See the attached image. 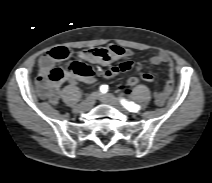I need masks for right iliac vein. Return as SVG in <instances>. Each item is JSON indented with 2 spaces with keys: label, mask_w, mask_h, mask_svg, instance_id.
I'll use <instances>...</instances> for the list:
<instances>
[{
  "label": "right iliac vein",
  "mask_w": 212,
  "mask_h": 183,
  "mask_svg": "<svg viewBox=\"0 0 212 183\" xmlns=\"http://www.w3.org/2000/svg\"><path fill=\"white\" fill-rule=\"evenodd\" d=\"M96 97H97L96 93H92L91 95H89L83 102H81L74 108V112L81 113L91 109L95 103Z\"/></svg>",
  "instance_id": "obj_1"
}]
</instances>
